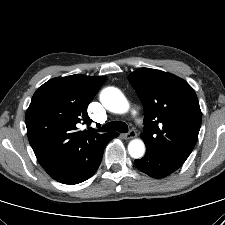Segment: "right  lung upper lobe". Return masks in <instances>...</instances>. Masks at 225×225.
<instances>
[{
    "instance_id": "cb5924a9",
    "label": "right lung upper lobe",
    "mask_w": 225,
    "mask_h": 225,
    "mask_svg": "<svg viewBox=\"0 0 225 225\" xmlns=\"http://www.w3.org/2000/svg\"><path fill=\"white\" fill-rule=\"evenodd\" d=\"M106 77L71 75L44 83L32 97L25 123L30 145L49 175L71 161L91 159L110 133L79 131V123L91 124L87 107Z\"/></svg>"
}]
</instances>
